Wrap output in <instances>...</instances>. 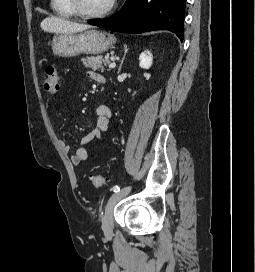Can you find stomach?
Wrapping results in <instances>:
<instances>
[{
  "instance_id": "stomach-1",
  "label": "stomach",
  "mask_w": 255,
  "mask_h": 272,
  "mask_svg": "<svg viewBox=\"0 0 255 272\" xmlns=\"http://www.w3.org/2000/svg\"><path fill=\"white\" fill-rule=\"evenodd\" d=\"M114 43L109 33L87 30L81 33L60 34L52 42L55 55L75 57L80 54L97 55L107 51Z\"/></svg>"
}]
</instances>
